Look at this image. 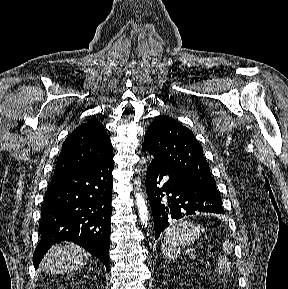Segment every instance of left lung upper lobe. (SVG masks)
Returning <instances> with one entry per match:
<instances>
[{
  "instance_id": "5c2ea615",
  "label": "left lung upper lobe",
  "mask_w": 288,
  "mask_h": 289,
  "mask_svg": "<svg viewBox=\"0 0 288 289\" xmlns=\"http://www.w3.org/2000/svg\"><path fill=\"white\" fill-rule=\"evenodd\" d=\"M142 147L169 172L217 191L203 148L193 132L169 116H158L146 131Z\"/></svg>"
}]
</instances>
